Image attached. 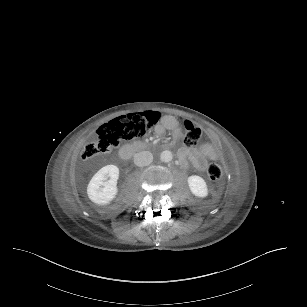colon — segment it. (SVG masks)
Here are the masks:
<instances>
[{"label":"colon","mask_w":307,"mask_h":307,"mask_svg":"<svg viewBox=\"0 0 307 307\" xmlns=\"http://www.w3.org/2000/svg\"><path fill=\"white\" fill-rule=\"evenodd\" d=\"M161 114L156 111H146L127 114L114 118L99 127L97 139L89 142L83 149L81 158L90 160L94 156L107 153L111 147L123 141H133L149 132L159 121ZM182 140L186 146H195L201 136V128L188 120H183ZM210 180H219L222 169L217 163H211L207 168Z\"/></svg>","instance_id":"colon-1"}]
</instances>
